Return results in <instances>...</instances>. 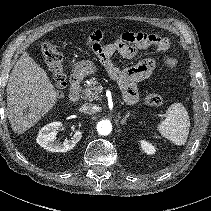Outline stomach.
I'll return each instance as SVG.
<instances>
[{"label":"stomach","instance_id":"stomach-1","mask_svg":"<svg viewBox=\"0 0 211 211\" xmlns=\"http://www.w3.org/2000/svg\"><path fill=\"white\" fill-rule=\"evenodd\" d=\"M74 72L79 77L92 75L97 72V66L95 65L93 61L82 60L75 64Z\"/></svg>","mask_w":211,"mask_h":211}]
</instances>
